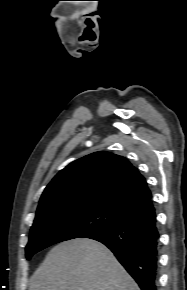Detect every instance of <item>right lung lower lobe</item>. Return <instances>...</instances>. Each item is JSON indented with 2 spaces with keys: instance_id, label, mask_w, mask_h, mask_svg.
I'll return each instance as SVG.
<instances>
[{
  "instance_id": "right-lung-lower-lobe-1",
  "label": "right lung lower lobe",
  "mask_w": 187,
  "mask_h": 290,
  "mask_svg": "<svg viewBox=\"0 0 187 290\" xmlns=\"http://www.w3.org/2000/svg\"><path fill=\"white\" fill-rule=\"evenodd\" d=\"M86 238L105 244L141 290H157L159 232L155 212L133 217Z\"/></svg>"
}]
</instances>
